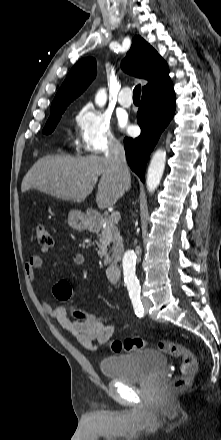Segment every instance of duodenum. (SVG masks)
I'll use <instances>...</instances> for the list:
<instances>
[{
  "label": "duodenum",
  "mask_w": 221,
  "mask_h": 440,
  "mask_svg": "<svg viewBox=\"0 0 221 440\" xmlns=\"http://www.w3.org/2000/svg\"><path fill=\"white\" fill-rule=\"evenodd\" d=\"M89 219V223L91 225H97L98 222L100 221V216L97 214H90L88 216ZM107 277L109 278V280L113 281V282H117L121 279V269L118 265L112 263L107 267Z\"/></svg>",
  "instance_id": "duodenum-1"
}]
</instances>
